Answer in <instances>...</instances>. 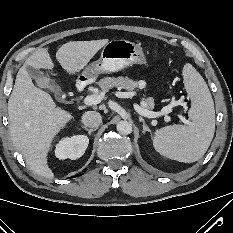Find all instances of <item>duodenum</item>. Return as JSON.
<instances>
[{
	"label": "duodenum",
	"instance_id": "duodenum-1",
	"mask_svg": "<svg viewBox=\"0 0 233 233\" xmlns=\"http://www.w3.org/2000/svg\"><path fill=\"white\" fill-rule=\"evenodd\" d=\"M85 88V82L84 81H79L78 83H77V90L78 91H82L83 89Z\"/></svg>",
	"mask_w": 233,
	"mask_h": 233
}]
</instances>
